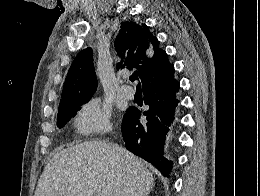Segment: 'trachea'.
<instances>
[{
    "label": "trachea",
    "mask_w": 260,
    "mask_h": 196,
    "mask_svg": "<svg viewBox=\"0 0 260 196\" xmlns=\"http://www.w3.org/2000/svg\"><path fill=\"white\" fill-rule=\"evenodd\" d=\"M129 80H130V81H136V80H138V76H137V73H136L135 71H134V73H132V75H130ZM140 85H141V84L138 83L137 86H140Z\"/></svg>",
    "instance_id": "obj_1"
}]
</instances>
